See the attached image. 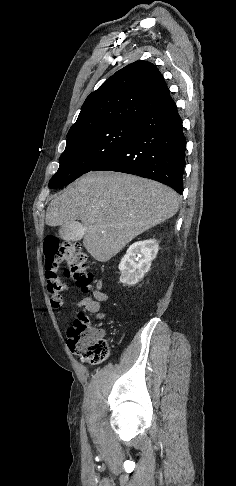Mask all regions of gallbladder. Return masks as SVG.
Returning a JSON list of instances; mask_svg holds the SVG:
<instances>
[{"instance_id": "obj_1", "label": "gallbladder", "mask_w": 236, "mask_h": 486, "mask_svg": "<svg viewBox=\"0 0 236 486\" xmlns=\"http://www.w3.org/2000/svg\"><path fill=\"white\" fill-rule=\"evenodd\" d=\"M82 230V224L78 221H73L61 225L59 235L66 241H78L82 238Z\"/></svg>"}]
</instances>
